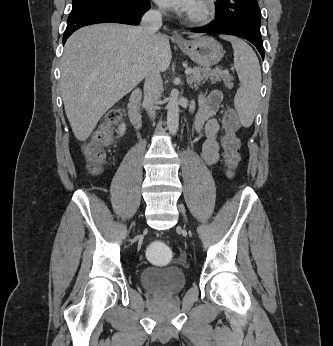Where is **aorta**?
I'll return each instance as SVG.
<instances>
[{
	"instance_id": "aorta-1",
	"label": "aorta",
	"mask_w": 333,
	"mask_h": 346,
	"mask_svg": "<svg viewBox=\"0 0 333 346\" xmlns=\"http://www.w3.org/2000/svg\"><path fill=\"white\" fill-rule=\"evenodd\" d=\"M167 127L173 135L177 133L179 127V105L174 91L171 92L167 104Z\"/></svg>"
}]
</instances>
